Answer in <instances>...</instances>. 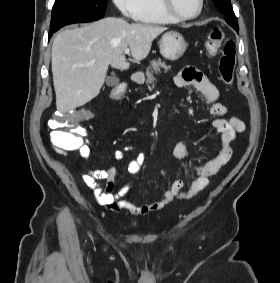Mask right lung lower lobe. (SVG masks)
I'll list each match as a JSON object with an SVG mask.
<instances>
[{
	"instance_id": "1",
	"label": "right lung lower lobe",
	"mask_w": 280,
	"mask_h": 283,
	"mask_svg": "<svg viewBox=\"0 0 280 283\" xmlns=\"http://www.w3.org/2000/svg\"><path fill=\"white\" fill-rule=\"evenodd\" d=\"M57 30H59V29H57ZM57 30H54V31H50V34H49V39H50V37L52 36V34L53 33H55Z\"/></svg>"
}]
</instances>
